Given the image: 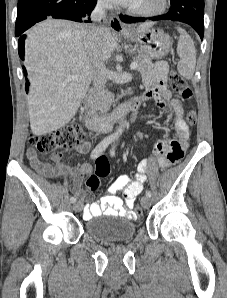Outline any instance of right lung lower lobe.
Wrapping results in <instances>:
<instances>
[{
  "instance_id": "1",
  "label": "right lung lower lobe",
  "mask_w": 227,
  "mask_h": 298,
  "mask_svg": "<svg viewBox=\"0 0 227 298\" xmlns=\"http://www.w3.org/2000/svg\"><path fill=\"white\" fill-rule=\"evenodd\" d=\"M97 0H19L15 36L19 37V56L24 59L23 33L35 23L47 18L68 19L77 22H90V15ZM26 76V70L24 69Z\"/></svg>"
}]
</instances>
